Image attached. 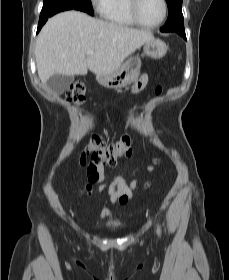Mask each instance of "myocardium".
<instances>
[{
  "instance_id": "f54148a6",
  "label": "myocardium",
  "mask_w": 229,
  "mask_h": 280,
  "mask_svg": "<svg viewBox=\"0 0 229 280\" xmlns=\"http://www.w3.org/2000/svg\"><path fill=\"white\" fill-rule=\"evenodd\" d=\"M162 6H163V14L161 19L155 23V24H147L143 22L139 16V4L140 0H128V10L130 13V16L132 17L133 21L136 23V25L148 28V29H154L160 27L166 20L168 15V4L166 0H161Z\"/></svg>"
}]
</instances>
